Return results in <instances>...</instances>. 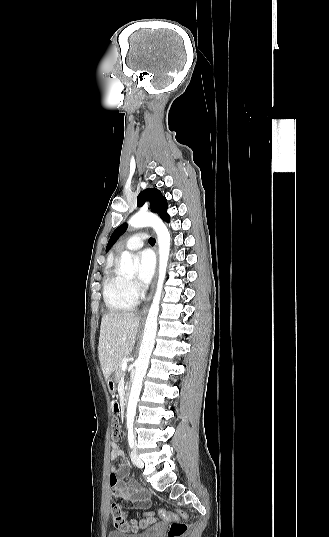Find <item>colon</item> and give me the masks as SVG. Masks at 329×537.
<instances>
[{"instance_id": "colon-1", "label": "colon", "mask_w": 329, "mask_h": 537, "mask_svg": "<svg viewBox=\"0 0 329 537\" xmlns=\"http://www.w3.org/2000/svg\"><path fill=\"white\" fill-rule=\"evenodd\" d=\"M112 437L118 440L121 437V426L117 418L112 421ZM111 514L113 516V527L120 529L122 534L131 533L133 530L148 526L152 520L130 521L123 514L120 503H111ZM159 518L169 523L168 537H184L188 531L186 523V513L180 509L175 511L160 510Z\"/></svg>"}]
</instances>
